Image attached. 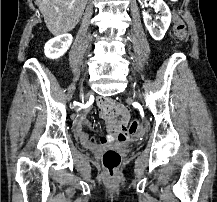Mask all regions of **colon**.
I'll return each instance as SVG.
<instances>
[{"label":"colon","instance_id":"colon-1","mask_svg":"<svg viewBox=\"0 0 217 202\" xmlns=\"http://www.w3.org/2000/svg\"><path fill=\"white\" fill-rule=\"evenodd\" d=\"M173 34L176 39L179 41H187L188 33L186 28V23L179 15H175L173 18ZM138 127L137 120H132L130 124L129 131L131 135H138ZM102 162L107 169V173L109 177H116V169L119 167L121 163V155L117 150L109 149L104 152L102 156Z\"/></svg>","mask_w":217,"mask_h":202}]
</instances>
